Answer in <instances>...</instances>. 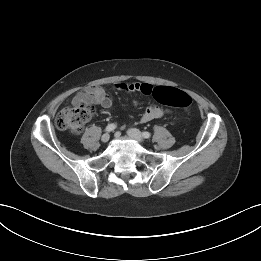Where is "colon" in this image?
I'll return each mask as SVG.
<instances>
[{
	"mask_svg": "<svg viewBox=\"0 0 261 261\" xmlns=\"http://www.w3.org/2000/svg\"><path fill=\"white\" fill-rule=\"evenodd\" d=\"M153 96L161 104L187 109L191 103V97L184 91L171 87H157L153 90ZM95 113L91 103H82L62 109L55 118L56 127L73 134L82 131L85 123Z\"/></svg>",
	"mask_w": 261,
	"mask_h": 261,
	"instance_id": "obj_1",
	"label": "colon"
}]
</instances>
